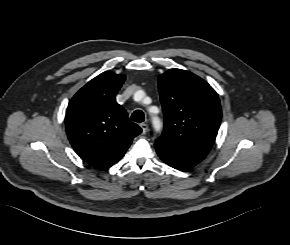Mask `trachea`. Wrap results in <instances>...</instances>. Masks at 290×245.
Segmentation results:
<instances>
[{"mask_svg":"<svg viewBox=\"0 0 290 245\" xmlns=\"http://www.w3.org/2000/svg\"><path fill=\"white\" fill-rule=\"evenodd\" d=\"M131 119L134 122L141 123L144 121V113L141 110H136L132 113Z\"/></svg>","mask_w":290,"mask_h":245,"instance_id":"obj_1","label":"trachea"}]
</instances>
